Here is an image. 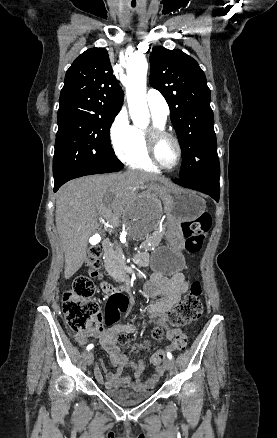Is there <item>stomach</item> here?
Wrapping results in <instances>:
<instances>
[{
  "label": "stomach",
  "instance_id": "stomach-1",
  "mask_svg": "<svg viewBox=\"0 0 277 438\" xmlns=\"http://www.w3.org/2000/svg\"><path fill=\"white\" fill-rule=\"evenodd\" d=\"M156 191L164 202L167 216V244L152 252L151 268L164 275H173L185 265L182 254L185 238L180 224L199 218L206 210V203L196 192L188 189L159 186Z\"/></svg>",
  "mask_w": 277,
  "mask_h": 438
}]
</instances>
